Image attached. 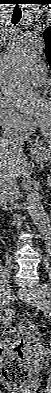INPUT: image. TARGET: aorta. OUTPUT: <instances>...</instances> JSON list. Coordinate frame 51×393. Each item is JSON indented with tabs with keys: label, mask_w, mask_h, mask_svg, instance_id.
Masks as SVG:
<instances>
[{
	"label": "aorta",
	"mask_w": 51,
	"mask_h": 393,
	"mask_svg": "<svg viewBox=\"0 0 51 393\" xmlns=\"http://www.w3.org/2000/svg\"><path fill=\"white\" fill-rule=\"evenodd\" d=\"M45 44L41 37L21 35L14 38L7 49L3 62V92L16 109L22 112L34 110L39 98L26 79L27 71L44 54ZM26 209L43 235L46 251L51 249L50 219L35 193H28ZM49 260V257H46Z\"/></svg>",
	"instance_id": "aorta-1"
}]
</instances>
